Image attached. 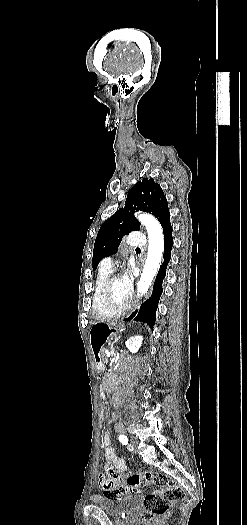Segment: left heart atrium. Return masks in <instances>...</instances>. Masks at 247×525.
<instances>
[{
  "instance_id": "left-heart-atrium-1",
  "label": "left heart atrium",
  "mask_w": 247,
  "mask_h": 525,
  "mask_svg": "<svg viewBox=\"0 0 247 525\" xmlns=\"http://www.w3.org/2000/svg\"><path fill=\"white\" fill-rule=\"evenodd\" d=\"M132 288V278L129 274H125V276L121 280L120 289L122 293H124L126 296L129 295Z\"/></svg>"
}]
</instances>
